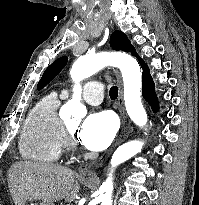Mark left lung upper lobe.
<instances>
[{
	"mask_svg": "<svg viewBox=\"0 0 199 205\" xmlns=\"http://www.w3.org/2000/svg\"><path fill=\"white\" fill-rule=\"evenodd\" d=\"M130 44L131 43L127 36L119 30L113 32L110 37V46L114 50H123L128 52V47ZM67 60V57L64 56L57 59L50 66H48L37 85V89L40 90L45 87L64 68Z\"/></svg>",
	"mask_w": 199,
	"mask_h": 205,
	"instance_id": "5c2ea615",
	"label": "left lung upper lobe"
}]
</instances>
